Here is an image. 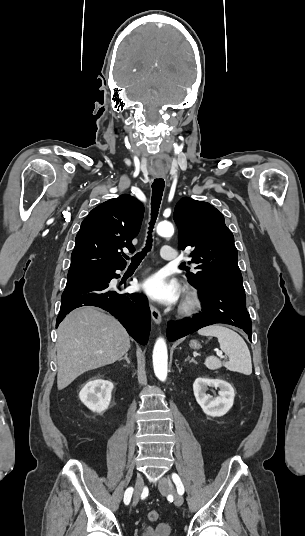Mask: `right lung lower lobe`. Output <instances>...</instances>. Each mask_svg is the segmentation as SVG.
I'll return each instance as SVG.
<instances>
[{
	"instance_id": "1",
	"label": "right lung lower lobe",
	"mask_w": 305,
	"mask_h": 536,
	"mask_svg": "<svg viewBox=\"0 0 305 536\" xmlns=\"http://www.w3.org/2000/svg\"><path fill=\"white\" fill-rule=\"evenodd\" d=\"M112 272L105 280H68L61 297V308L56 327L73 309L87 305L98 306L119 319L129 335L138 343L146 345L151 322L147 300L140 294H118L117 289L110 288V280L118 277L115 270Z\"/></svg>"
}]
</instances>
